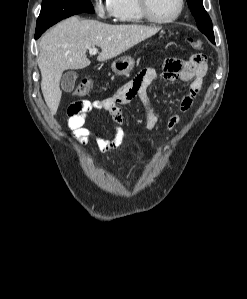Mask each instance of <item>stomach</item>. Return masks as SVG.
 Returning a JSON list of instances; mask_svg holds the SVG:
<instances>
[{
  "instance_id": "obj_1",
  "label": "stomach",
  "mask_w": 247,
  "mask_h": 299,
  "mask_svg": "<svg viewBox=\"0 0 247 299\" xmlns=\"http://www.w3.org/2000/svg\"><path fill=\"white\" fill-rule=\"evenodd\" d=\"M135 66V61L130 56H124L116 59L112 63V70L118 76H129Z\"/></svg>"
}]
</instances>
